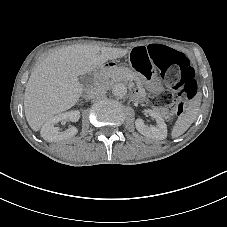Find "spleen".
<instances>
[{"mask_svg": "<svg viewBox=\"0 0 227 227\" xmlns=\"http://www.w3.org/2000/svg\"><path fill=\"white\" fill-rule=\"evenodd\" d=\"M197 117V109H192L184 114H181L175 125L172 129L171 136L172 138H177L181 136L183 133L187 131V129L191 126L194 120Z\"/></svg>", "mask_w": 227, "mask_h": 227, "instance_id": "1", "label": "spleen"}]
</instances>
